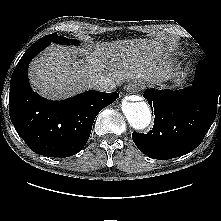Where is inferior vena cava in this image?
I'll return each mask as SVG.
<instances>
[{
  "label": "inferior vena cava",
  "mask_w": 221,
  "mask_h": 221,
  "mask_svg": "<svg viewBox=\"0 0 221 221\" xmlns=\"http://www.w3.org/2000/svg\"><path fill=\"white\" fill-rule=\"evenodd\" d=\"M116 87V83L109 77L101 76L90 82V88L97 91H112Z\"/></svg>",
  "instance_id": "1"
}]
</instances>
